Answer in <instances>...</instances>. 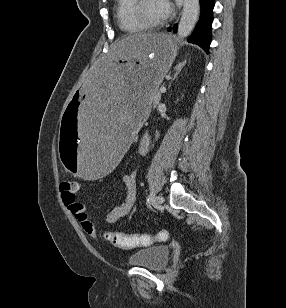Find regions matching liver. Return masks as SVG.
Returning <instances> with one entry per match:
<instances>
[{
    "mask_svg": "<svg viewBox=\"0 0 286 308\" xmlns=\"http://www.w3.org/2000/svg\"><path fill=\"white\" fill-rule=\"evenodd\" d=\"M145 35H147V34H136V35L127 37V38H125V39H129V38H132V37H138V36H145ZM123 40H124V39H123ZM123 40L118 41V42L113 46L112 52H114V51L117 49V47L119 46L120 42L123 41Z\"/></svg>",
    "mask_w": 286,
    "mask_h": 308,
    "instance_id": "liver-1",
    "label": "liver"
}]
</instances>
